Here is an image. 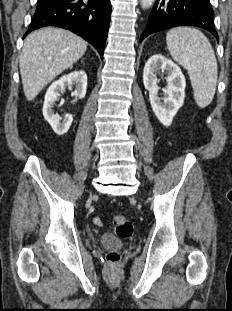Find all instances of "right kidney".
I'll return each mask as SVG.
<instances>
[{
    "label": "right kidney",
    "mask_w": 232,
    "mask_h": 311,
    "mask_svg": "<svg viewBox=\"0 0 232 311\" xmlns=\"http://www.w3.org/2000/svg\"><path fill=\"white\" fill-rule=\"evenodd\" d=\"M67 86H74L75 96L80 99L84 98L87 89V75L85 71H75L61 77L59 80L53 82L46 92L43 105V116L57 135H64L67 133L73 121L72 115L66 114L64 118L61 119L53 110L55 102L60 96V92L65 91Z\"/></svg>",
    "instance_id": "obj_1"
}]
</instances>
